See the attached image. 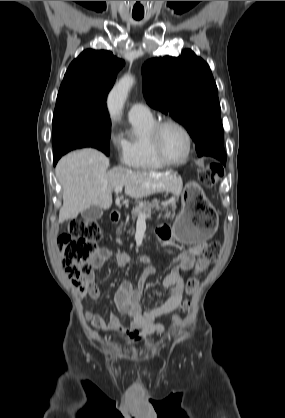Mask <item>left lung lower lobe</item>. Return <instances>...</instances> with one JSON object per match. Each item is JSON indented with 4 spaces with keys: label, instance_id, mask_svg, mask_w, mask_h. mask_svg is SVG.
Returning <instances> with one entry per match:
<instances>
[{
    "label": "left lung lower lobe",
    "instance_id": "left-lung-lower-lobe-1",
    "mask_svg": "<svg viewBox=\"0 0 285 418\" xmlns=\"http://www.w3.org/2000/svg\"><path fill=\"white\" fill-rule=\"evenodd\" d=\"M223 154H224V151H219V152H213L211 156L219 160V158H221Z\"/></svg>",
    "mask_w": 285,
    "mask_h": 418
}]
</instances>
